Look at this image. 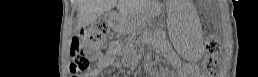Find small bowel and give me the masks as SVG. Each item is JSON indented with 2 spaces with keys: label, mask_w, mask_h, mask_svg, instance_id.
Wrapping results in <instances>:
<instances>
[{
  "label": "small bowel",
  "mask_w": 258,
  "mask_h": 77,
  "mask_svg": "<svg viewBox=\"0 0 258 77\" xmlns=\"http://www.w3.org/2000/svg\"><path fill=\"white\" fill-rule=\"evenodd\" d=\"M113 53V51L110 52V54ZM94 58L97 60V67L91 72L92 74H95L98 72V70L105 67L108 63V56L104 54L94 53Z\"/></svg>",
  "instance_id": "obj_1"
}]
</instances>
